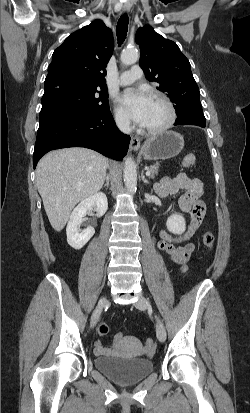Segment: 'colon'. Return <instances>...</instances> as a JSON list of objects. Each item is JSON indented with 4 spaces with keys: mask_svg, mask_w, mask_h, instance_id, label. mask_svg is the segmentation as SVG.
<instances>
[{
    "mask_svg": "<svg viewBox=\"0 0 250 413\" xmlns=\"http://www.w3.org/2000/svg\"><path fill=\"white\" fill-rule=\"evenodd\" d=\"M195 162H196V157H195V155L189 154V155H187L186 157H184V159L182 160V165H183L184 167H189V166L193 165ZM213 242H214V236H213V234H212L210 231H206V232L204 233V235H203V244L205 245V247H206L207 249H211V247H212V245H213ZM108 331H109V327H108V325H107L106 323H101V324L98 326V334H99V335L104 336V335H106V334L108 333ZM124 336H125V335H124V331H123V330H121V331L119 330V331L116 332V334H115L114 336L111 337V342L116 344V343H118V342L121 340V338H123ZM145 345H146V349H147L148 352H153V351H154V349H155V342H154L153 339L148 338V339L145 341Z\"/></svg>",
    "mask_w": 250,
    "mask_h": 413,
    "instance_id": "5ec220e1",
    "label": "colon"
}]
</instances>
